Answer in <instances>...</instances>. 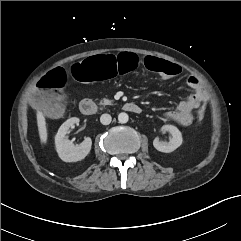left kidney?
<instances>
[{
  "instance_id": "left-kidney-1",
  "label": "left kidney",
  "mask_w": 241,
  "mask_h": 241,
  "mask_svg": "<svg viewBox=\"0 0 241 241\" xmlns=\"http://www.w3.org/2000/svg\"><path fill=\"white\" fill-rule=\"evenodd\" d=\"M161 131L169 132L172 135V138H170L169 142H163L156 137L153 141V146L156 150L164 153H170L182 144V134L177 127L173 125H164L162 126Z\"/></svg>"
}]
</instances>
